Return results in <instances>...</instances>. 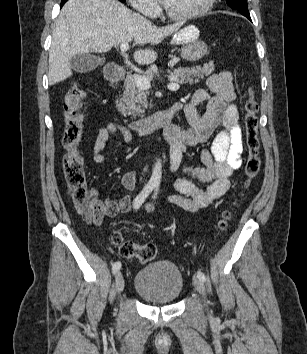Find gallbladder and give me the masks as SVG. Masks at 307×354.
Wrapping results in <instances>:
<instances>
[{
	"mask_svg": "<svg viewBox=\"0 0 307 354\" xmlns=\"http://www.w3.org/2000/svg\"><path fill=\"white\" fill-rule=\"evenodd\" d=\"M104 62V58L95 55L78 54L72 57L70 64L74 71L85 73L95 70L99 65H103Z\"/></svg>",
	"mask_w": 307,
	"mask_h": 354,
	"instance_id": "obj_1",
	"label": "gallbladder"
}]
</instances>
